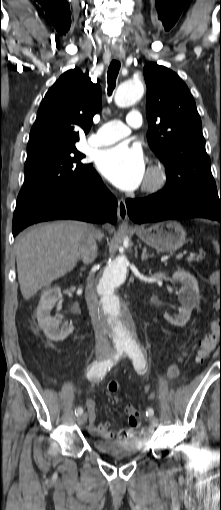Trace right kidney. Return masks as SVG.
Returning <instances> with one entry per match:
<instances>
[{
  "label": "right kidney",
  "instance_id": "1",
  "mask_svg": "<svg viewBox=\"0 0 221 510\" xmlns=\"http://www.w3.org/2000/svg\"><path fill=\"white\" fill-rule=\"evenodd\" d=\"M62 297L60 287H52L43 291L36 316L40 328L46 337L52 341H63L73 332V325L67 322L60 327V321L51 317L50 312L56 302Z\"/></svg>",
  "mask_w": 221,
  "mask_h": 510
}]
</instances>
